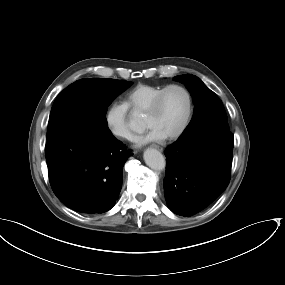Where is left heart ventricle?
I'll list each match as a JSON object with an SVG mask.
<instances>
[{
	"label": "left heart ventricle",
	"mask_w": 285,
	"mask_h": 285,
	"mask_svg": "<svg viewBox=\"0 0 285 285\" xmlns=\"http://www.w3.org/2000/svg\"><path fill=\"white\" fill-rule=\"evenodd\" d=\"M187 110L185 93L178 89H169L163 96L159 109L153 114H144L143 123L165 136L175 132L180 126Z\"/></svg>",
	"instance_id": "obj_1"
}]
</instances>
